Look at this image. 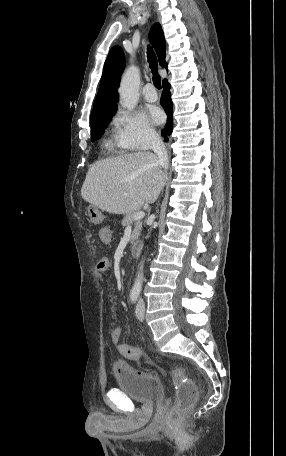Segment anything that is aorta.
Instances as JSON below:
<instances>
[{
  "instance_id": "obj_1",
  "label": "aorta",
  "mask_w": 286,
  "mask_h": 456,
  "mask_svg": "<svg viewBox=\"0 0 286 456\" xmlns=\"http://www.w3.org/2000/svg\"><path fill=\"white\" fill-rule=\"evenodd\" d=\"M139 70L131 66L123 74L120 87L118 89L121 105L129 110H133L139 99ZM143 281V262L140 263L139 271L134 281L133 289L141 290Z\"/></svg>"
}]
</instances>
